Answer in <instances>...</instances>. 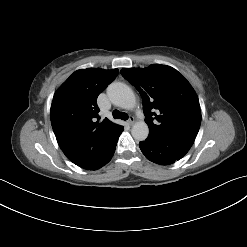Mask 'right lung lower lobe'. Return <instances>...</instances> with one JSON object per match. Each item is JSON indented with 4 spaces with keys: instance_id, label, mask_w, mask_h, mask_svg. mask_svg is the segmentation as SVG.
Masks as SVG:
<instances>
[{
    "instance_id": "obj_1",
    "label": "right lung lower lobe",
    "mask_w": 247,
    "mask_h": 247,
    "mask_svg": "<svg viewBox=\"0 0 247 247\" xmlns=\"http://www.w3.org/2000/svg\"><path fill=\"white\" fill-rule=\"evenodd\" d=\"M123 130V126L117 125L108 133L100 136L94 141L89 155L76 165L87 170H97L106 165L115 152L118 138Z\"/></svg>"
}]
</instances>
